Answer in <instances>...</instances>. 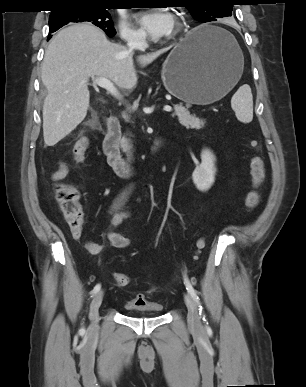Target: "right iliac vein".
I'll return each mask as SVG.
<instances>
[{
  "label": "right iliac vein",
  "instance_id": "63e3f726",
  "mask_svg": "<svg viewBox=\"0 0 306 387\" xmlns=\"http://www.w3.org/2000/svg\"><path fill=\"white\" fill-rule=\"evenodd\" d=\"M103 296H104V291L101 290L94 297L90 305L89 318L91 320L90 330L92 333H95L98 329L99 308L101 306Z\"/></svg>",
  "mask_w": 306,
  "mask_h": 387
}]
</instances>
